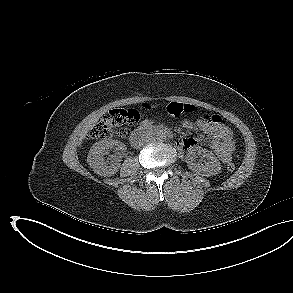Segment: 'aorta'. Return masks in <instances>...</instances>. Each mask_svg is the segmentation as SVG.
<instances>
[{"label":"aorta","mask_w":293,"mask_h":293,"mask_svg":"<svg viewBox=\"0 0 293 293\" xmlns=\"http://www.w3.org/2000/svg\"><path fill=\"white\" fill-rule=\"evenodd\" d=\"M166 139H167V136L163 133L161 135L157 136V140L160 142H164V141H166Z\"/></svg>","instance_id":"1"}]
</instances>
